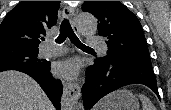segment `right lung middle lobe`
Returning a JSON list of instances; mask_svg holds the SVG:
<instances>
[{
    "label": "right lung middle lobe",
    "instance_id": "1",
    "mask_svg": "<svg viewBox=\"0 0 171 110\" xmlns=\"http://www.w3.org/2000/svg\"><path fill=\"white\" fill-rule=\"evenodd\" d=\"M37 48L0 46V72L19 68H42L47 63L37 58Z\"/></svg>",
    "mask_w": 171,
    "mask_h": 110
}]
</instances>
